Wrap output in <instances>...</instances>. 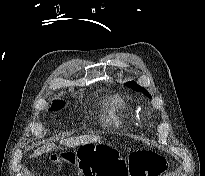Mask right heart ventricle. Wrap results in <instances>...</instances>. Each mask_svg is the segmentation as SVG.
<instances>
[{
	"label": "right heart ventricle",
	"instance_id": "1",
	"mask_svg": "<svg viewBox=\"0 0 205 176\" xmlns=\"http://www.w3.org/2000/svg\"><path fill=\"white\" fill-rule=\"evenodd\" d=\"M108 116L107 120L109 123L118 126L120 124V115L125 112L126 104L123 99L117 95L111 97L108 101Z\"/></svg>",
	"mask_w": 205,
	"mask_h": 176
}]
</instances>
